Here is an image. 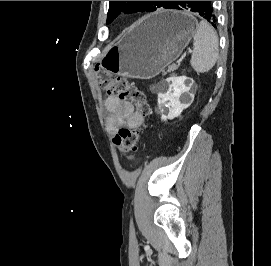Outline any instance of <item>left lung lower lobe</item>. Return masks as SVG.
<instances>
[{"instance_id": "0a47b994", "label": "left lung lower lobe", "mask_w": 271, "mask_h": 266, "mask_svg": "<svg viewBox=\"0 0 271 266\" xmlns=\"http://www.w3.org/2000/svg\"><path fill=\"white\" fill-rule=\"evenodd\" d=\"M167 9L190 10L207 20L213 27L217 26L212 1H172Z\"/></svg>"}]
</instances>
